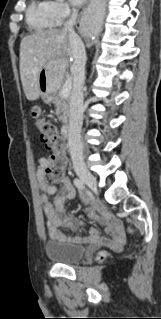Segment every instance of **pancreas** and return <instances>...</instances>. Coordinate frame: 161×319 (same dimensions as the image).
<instances>
[{
	"label": "pancreas",
	"instance_id": "obj_1",
	"mask_svg": "<svg viewBox=\"0 0 161 319\" xmlns=\"http://www.w3.org/2000/svg\"><path fill=\"white\" fill-rule=\"evenodd\" d=\"M53 99V103L55 105V111L58 116V119L66 124L68 121V113H69V98L62 97L61 92L55 93L51 97Z\"/></svg>",
	"mask_w": 161,
	"mask_h": 319
}]
</instances>
